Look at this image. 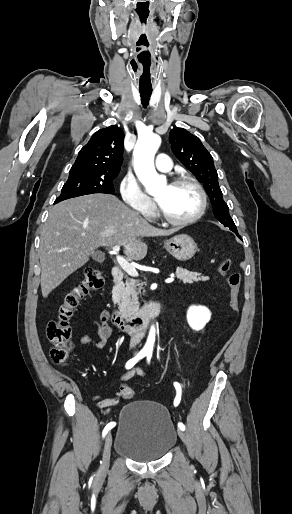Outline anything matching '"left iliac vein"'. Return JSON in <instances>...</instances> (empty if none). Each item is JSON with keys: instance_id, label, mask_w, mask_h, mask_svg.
I'll return each instance as SVG.
<instances>
[{"instance_id": "left-iliac-vein-1", "label": "left iliac vein", "mask_w": 292, "mask_h": 514, "mask_svg": "<svg viewBox=\"0 0 292 514\" xmlns=\"http://www.w3.org/2000/svg\"><path fill=\"white\" fill-rule=\"evenodd\" d=\"M178 436L180 437V439H181L184 443H186V442H187V436H186V434H185V432H184V431H182V430H180V429H179V430H178Z\"/></svg>"}]
</instances>
